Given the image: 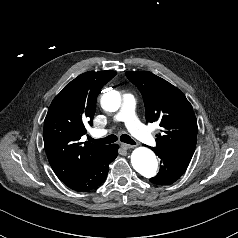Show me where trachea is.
Instances as JSON below:
<instances>
[{
	"label": "trachea",
	"mask_w": 238,
	"mask_h": 238,
	"mask_svg": "<svg viewBox=\"0 0 238 238\" xmlns=\"http://www.w3.org/2000/svg\"><path fill=\"white\" fill-rule=\"evenodd\" d=\"M90 142H93L95 144L98 145H105V144H111L114 143L117 140V137L115 135H109L105 138H101V139H93V138H88ZM120 141L127 143V144H131V145H135V141L131 139V137L127 134H122L120 136Z\"/></svg>",
	"instance_id": "1"
}]
</instances>
